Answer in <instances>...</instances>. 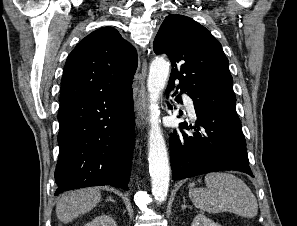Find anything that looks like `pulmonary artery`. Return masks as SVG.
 <instances>
[{
  "mask_svg": "<svg viewBox=\"0 0 297 226\" xmlns=\"http://www.w3.org/2000/svg\"><path fill=\"white\" fill-rule=\"evenodd\" d=\"M184 102H185V105L189 111V114L192 116V117H195L196 114H195V109H194V105H193V101L187 97L186 95H184Z\"/></svg>",
  "mask_w": 297,
  "mask_h": 226,
  "instance_id": "1",
  "label": "pulmonary artery"
}]
</instances>
